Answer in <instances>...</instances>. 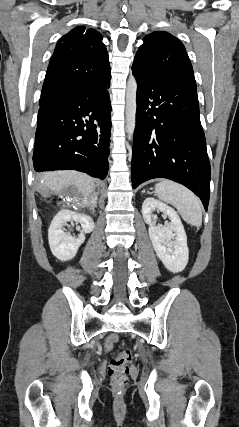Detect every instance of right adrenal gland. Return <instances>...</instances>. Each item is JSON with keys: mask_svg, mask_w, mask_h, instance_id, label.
Listing matches in <instances>:
<instances>
[{"mask_svg": "<svg viewBox=\"0 0 239 427\" xmlns=\"http://www.w3.org/2000/svg\"><path fill=\"white\" fill-rule=\"evenodd\" d=\"M96 199H97V194L93 193V203L89 205V207H92V210H94L95 206H96Z\"/></svg>", "mask_w": 239, "mask_h": 427, "instance_id": "2a0ac1e0", "label": "right adrenal gland"}]
</instances>
